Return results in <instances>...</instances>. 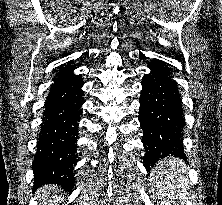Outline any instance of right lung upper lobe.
I'll list each match as a JSON object with an SVG mask.
<instances>
[{"label":"right lung upper lobe","mask_w":222,"mask_h":205,"mask_svg":"<svg viewBox=\"0 0 222 205\" xmlns=\"http://www.w3.org/2000/svg\"><path fill=\"white\" fill-rule=\"evenodd\" d=\"M71 68H73V67H65V68H63L62 70L71 69Z\"/></svg>","instance_id":"right-lung-upper-lobe-1"}]
</instances>
